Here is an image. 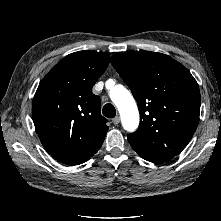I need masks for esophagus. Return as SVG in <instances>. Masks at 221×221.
Instances as JSON below:
<instances>
[{
  "mask_svg": "<svg viewBox=\"0 0 221 221\" xmlns=\"http://www.w3.org/2000/svg\"><path fill=\"white\" fill-rule=\"evenodd\" d=\"M113 124L114 125H118L120 123V117H115L113 120H112Z\"/></svg>",
  "mask_w": 221,
  "mask_h": 221,
  "instance_id": "esophagus-1",
  "label": "esophagus"
}]
</instances>
